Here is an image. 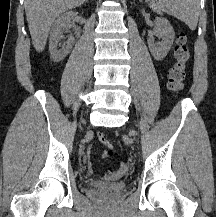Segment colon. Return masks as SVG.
<instances>
[{
	"mask_svg": "<svg viewBox=\"0 0 216 217\" xmlns=\"http://www.w3.org/2000/svg\"><path fill=\"white\" fill-rule=\"evenodd\" d=\"M189 47L187 36L184 31H179L176 36L174 47L175 64L170 69L168 74V88L173 94H178L186 78V65L189 59ZM99 143L105 148L108 155L112 154V145L109 138L104 133L98 134ZM124 168H120L122 172Z\"/></svg>",
	"mask_w": 216,
	"mask_h": 217,
	"instance_id": "1",
	"label": "colon"
}]
</instances>
